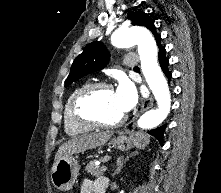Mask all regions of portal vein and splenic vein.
Here are the masks:
<instances>
[{
  "label": "portal vein and splenic vein",
  "mask_w": 221,
  "mask_h": 193,
  "mask_svg": "<svg viewBox=\"0 0 221 193\" xmlns=\"http://www.w3.org/2000/svg\"><path fill=\"white\" fill-rule=\"evenodd\" d=\"M107 169H108L107 166H102L100 170H101V172H105V171H107Z\"/></svg>",
  "instance_id": "1"
}]
</instances>
